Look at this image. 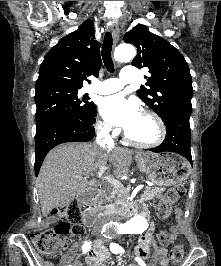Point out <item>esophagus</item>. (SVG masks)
Listing matches in <instances>:
<instances>
[{"label":"esophagus","mask_w":221,"mask_h":266,"mask_svg":"<svg viewBox=\"0 0 221 266\" xmlns=\"http://www.w3.org/2000/svg\"><path fill=\"white\" fill-rule=\"evenodd\" d=\"M110 30L112 32V36H113V41H114V44L116 45L118 39H119V28L117 25L113 24L111 27H110Z\"/></svg>","instance_id":"obj_1"}]
</instances>
